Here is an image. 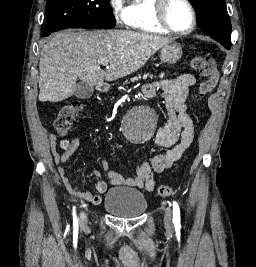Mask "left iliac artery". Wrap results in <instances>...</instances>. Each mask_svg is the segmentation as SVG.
<instances>
[{"label": "left iliac artery", "mask_w": 256, "mask_h": 267, "mask_svg": "<svg viewBox=\"0 0 256 267\" xmlns=\"http://www.w3.org/2000/svg\"><path fill=\"white\" fill-rule=\"evenodd\" d=\"M173 223L180 226V208L176 201L173 202Z\"/></svg>", "instance_id": "1"}]
</instances>
